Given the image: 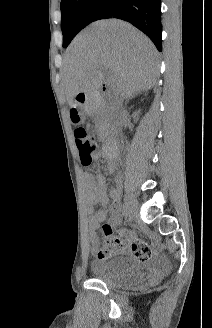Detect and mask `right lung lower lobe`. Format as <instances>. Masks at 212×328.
<instances>
[{"label":"right lung lower lobe","mask_w":212,"mask_h":328,"mask_svg":"<svg viewBox=\"0 0 212 328\" xmlns=\"http://www.w3.org/2000/svg\"><path fill=\"white\" fill-rule=\"evenodd\" d=\"M160 16V0H103L94 14L93 21L111 17L128 21L144 32L161 51Z\"/></svg>","instance_id":"right-lung-lower-lobe-1"}]
</instances>
